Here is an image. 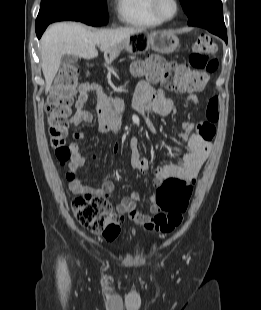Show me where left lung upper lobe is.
Segmentation results:
<instances>
[{
	"mask_svg": "<svg viewBox=\"0 0 261 310\" xmlns=\"http://www.w3.org/2000/svg\"><path fill=\"white\" fill-rule=\"evenodd\" d=\"M188 16V25L211 20L225 25L221 0H180Z\"/></svg>",
	"mask_w": 261,
	"mask_h": 310,
	"instance_id": "1",
	"label": "left lung upper lobe"
}]
</instances>
